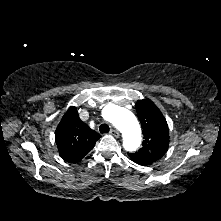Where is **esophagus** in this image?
<instances>
[{"instance_id": "1", "label": "esophagus", "mask_w": 221, "mask_h": 221, "mask_svg": "<svg viewBox=\"0 0 221 221\" xmlns=\"http://www.w3.org/2000/svg\"><path fill=\"white\" fill-rule=\"evenodd\" d=\"M110 134H111L112 136H114V137H117V138L120 136L119 131H117L116 129H112V130L110 131Z\"/></svg>"}]
</instances>
